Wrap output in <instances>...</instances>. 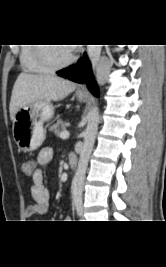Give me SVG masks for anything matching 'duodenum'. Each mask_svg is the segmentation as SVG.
<instances>
[{"label":"duodenum","instance_id":"duodenum-1","mask_svg":"<svg viewBox=\"0 0 166 267\" xmlns=\"http://www.w3.org/2000/svg\"><path fill=\"white\" fill-rule=\"evenodd\" d=\"M68 163L71 169H75L78 165L77 159L74 156L69 157Z\"/></svg>","mask_w":166,"mask_h":267}]
</instances>
